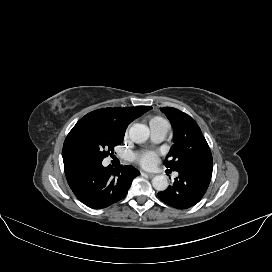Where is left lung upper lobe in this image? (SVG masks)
<instances>
[{
	"label": "left lung upper lobe",
	"mask_w": 272,
	"mask_h": 272,
	"mask_svg": "<svg viewBox=\"0 0 272 272\" xmlns=\"http://www.w3.org/2000/svg\"><path fill=\"white\" fill-rule=\"evenodd\" d=\"M173 126L174 145L164 162L173 171L183 166L212 162L210 148L197 123L172 107L161 108Z\"/></svg>",
	"instance_id": "left-lung-upper-lobe-1"
}]
</instances>
